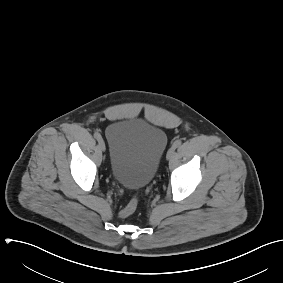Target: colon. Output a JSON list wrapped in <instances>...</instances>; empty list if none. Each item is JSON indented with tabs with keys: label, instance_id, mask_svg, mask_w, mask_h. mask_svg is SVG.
I'll list each match as a JSON object with an SVG mask.
<instances>
[{
	"label": "colon",
	"instance_id": "5ec220e1",
	"mask_svg": "<svg viewBox=\"0 0 283 283\" xmlns=\"http://www.w3.org/2000/svg\"><path fill=\"white\" fill-rule=\"evenodd\" d=\"M138 206V198L137 197H133L129 203L120 211L119 215L122 218H126L128 216H130L131 214H133Z\"/></svg>",
	"mask_w": 283,
	"mask_h": 283
}]
</instances>
